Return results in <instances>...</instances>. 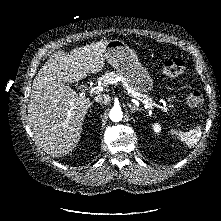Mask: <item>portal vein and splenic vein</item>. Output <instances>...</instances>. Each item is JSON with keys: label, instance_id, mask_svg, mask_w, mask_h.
<instances>
[{"label": "portal vein and splenic vein", "instance_id": "obj_1", "mask_svg": "<svg viewBox=\"0 0 221 221\" xmlns=\"http://www.w3.org/2000/svg\"><path fill=\"white\" fill-rule=\"evenodd\" d=\"M101 91H103V86H96V87H93V88L90 89V93H91V94H92V93L101 92ZM130 96L133 97V98H135V99H137L138 101L142 102V103L145 104V106H147L148 108L154 109V107H158V108H161L163 111H167V108L161 107V106H159V105H157V104H155V103H150V102H148L147 100H143V99L139 98V97L137 96V94H132V95H130Z\"/></svg>", "mask_w": 221, "mask_h": 221}]
</instances>
